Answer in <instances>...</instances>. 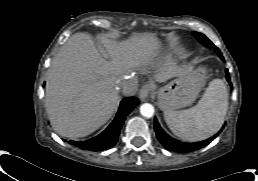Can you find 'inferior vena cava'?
<instances>
[{"mask_svg":"<svg viewBox=\"0 0 258 181\" xmlns=\"http://www.w3.org/2000/svg\"><path fill=\"white\" fill-rule=\"evenodd\" d=\"M120 91L125 96H133L138 90V80L133 78H122L119 82Z\"/></svg>","mask_w":258,"mask_h":181,"instance_id":"602c4592","label":"inferior vena cava"}]
</instances>
